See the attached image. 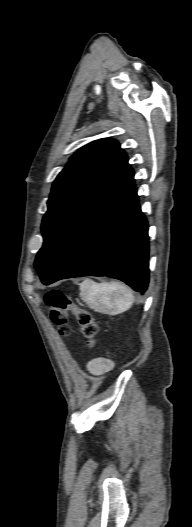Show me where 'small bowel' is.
Listing matches in <instances>:
<instances>
[{"instance_id": "c3829d8e", "label": "small bowel", "mask_w": 192, "mask_h": 527, "mask_svg": "<svg viewBox=\"0 0 192 527\" xmlns=\"http://www.w3.org/2000/svg\"><path fill=\"white\" fill-rule=\"evenodd\" d=\"M113 368V362L106 358H95L88 362L87 369L93 375H102Z\"/></svg>"}]
</instances>
